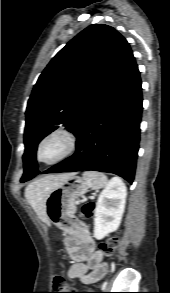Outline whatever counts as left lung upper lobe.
Returning <instances> with one entry per match:
<instances>
[{
    "mask_svg": "<svg viewBox=\"0 0 170 293\" xmlns=\"http://www.w3.org/2000/svg\"><path fill=\"white\" fill-rule=\"evenodd\" d=\"M131 55L126 39L105 24L90 25L55 55L28 101L22 183L39 173L38 143L62 125L77 136Z\"/></svg>",
    "mask_w": 170,
    "mask_h": 293,
    "instance_id": "left-lung-upper-lobe-1",
    "label": "left lung upper lobe"
}]
</instances>
